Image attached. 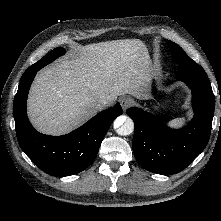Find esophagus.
Here are the masks:
<instances>
[{
    "label": "esophagus",
    "instance_id": "1",
    "mask_svg": "<svg viewBox=\"0 0 221 221\" xmlns=\"http://www.w3.org/2000/svg\"><path fill=\"white\" fill-rule=\"evenodd\" d=\"M134 100L131 97H123L120 99V104L124 110L133 105Z\"/></svg>",
    "mask_w": 221,
    "mask_h": 221
}]
</instances>
